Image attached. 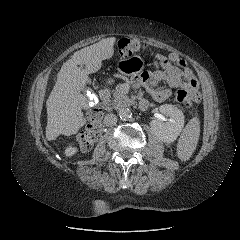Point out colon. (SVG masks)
Masks as SVG:
<instances>
[{
    "instance_id": "colon-1",
    "label": "colon",
    "mask_w": 240,
    "mask_h": 240,
    "mask_svg": "<svg viewBox=\"0 0 240 240\" xmlns=\"http://www.w3.org/2000/svg\"><path fill=\"white\" fill-rule=\"evenodd\" d=\"M146 45L135 38H122L117 43V49L120 55L129 56L138 51L144 50ZM174 101L186 109H190L194 104V97L186 90H178L175 93ZM101 132V111L94 108L89 113V125L86 130L77 135V142L81 150L87 151L92 148L99 139Z\"/></svg>"
}]
</instances>
